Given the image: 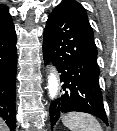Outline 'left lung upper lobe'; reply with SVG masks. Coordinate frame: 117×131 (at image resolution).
Returning <instances> with one entry per match:
<instances>
[{
	"label": "left lung upper lobe",
	"instance_id": "left-lung-upper-lobe-1",
	"mask_svg": "<svg viewBox=\"0 0 117 131\" xmlns=\"http://www.w3.org/2000/svg\"><path fill=\"white\" fill-rule=\"evenodd\" d=\"M65 2L70 3L74 7V9L78 12V14L80 15L83 23L87 27L88 33H89V35H90V37L92 39L93 44L95 45L93 30H92V27L89 24L85 8L80 3H78V2H76L74 0H67Z\"/></svg>",
	"mask_w": 117,
	"mask_h": 131
}]
</instances>
